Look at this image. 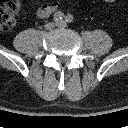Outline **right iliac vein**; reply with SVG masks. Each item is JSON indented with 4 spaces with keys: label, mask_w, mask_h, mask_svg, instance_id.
I'll return each mask as SVG.
<instances>
[{
    "label": "right iliac vein",
    "mask_w": 128,
    "mask_h": 128,
    "mask_svg": "<svg viewBox=\"0 0 128 128\" xmlns=\"http://www.w3.org/2000/svg\"><path fill=\"white\" fill-rule=\"evenodd\" d=\"M57 26V22H49L45 25V29L48 31L53 30Z\"/></svg>",
    "instance_id": "1"
}]
</instances>
